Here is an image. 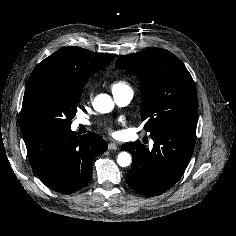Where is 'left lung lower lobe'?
Here are the masks:
<instances>
[{
  "label": "left lung lower lobe",
  "instance_id": "1",
  "mask_svg": "<svg viewBox=\"0 0 236 236\" xmlns=\"http://www.w3.org/2000/svg\"><path fill=\"white\" fill-rule=\"evenodd\" d=\"M150 136L154 141L151 150L140 141L122 146L133 156L127 183L146 197L167 191L182 177L193 154L196 130L166 127L150 132Z\"/></svg>",
  "mask_w": 236,
  "mask_h": 236
}]
</instances>
